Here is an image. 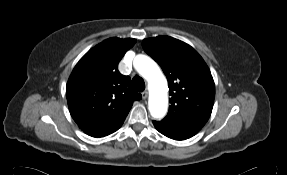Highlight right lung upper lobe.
<instances>
[{
  "instance_id": "cb5924a9",
  "label": "right lung upper lobe",
  "mask_w": 287,
  "mask_h": 175,
  "mask_svg": "<svg viewBox=\"0 0 287 175\" xmlns=\"http://www.w3.org/2000/svg\"><path fill=\"white\" fill-rule=\"evenodd\" d=\"M135 39L109 38L88 51L74 67L66 87L70 114L88 135L104 137L123 124L134 101L141 99L118 63Z\"/></svg>"
}]
</instances>
